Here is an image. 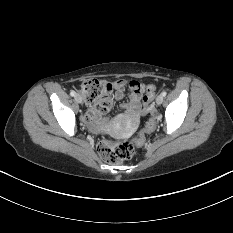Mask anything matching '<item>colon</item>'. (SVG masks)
Here are the masks:
<instances>
[{
	"instance_id": "1",
	"label": "colon",
	"mask_w": 233,
	"mask_h": 233,
	"mask_svg": "<svg viewBox=\"0 0 233 233\" xmlns=\"http://www.w3.org/2000/svg\"><path fill=\"white\" fill-rule=\"evenodd\" d=\"M112 90L113 84L101 79H88L83 82L81 87V91L87 100H100L104 102V105L101 107L103 112H106L110 104V93ZM155 91L156 86L153 84L148 85L146 88V93L143 97L146 111L150 109L149 104L154 97ZM155 126V119L151 117L140 131L139 136L132 141H100L97 145L100 157L111 164H119L130 160L135 155V147L142 146L145 143V135L152 132Z\"/></svg>"
}]
</instances>
